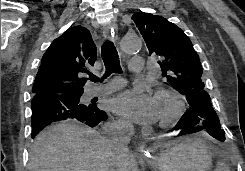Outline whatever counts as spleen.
<instances>
[{
  "mask_svg": "<svg viewBox=\"0 0 245 171\" xmlns=\"http://www.w3.org/2000/svg\"><path fill=\"white\" fill-rule=\"evenodd\" d=\"M214 171H230L229 167L223 162H217Z\"/></svg>",
  "mask_w": 245,
  "mask_h": 171,
  "instance_id": "obj_1",
  "label": "spleen"
}]
</instances>
